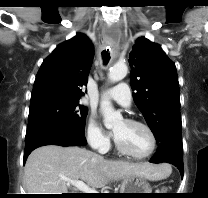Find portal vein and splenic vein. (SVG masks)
I'll return each mask as SVG.
<instances>
[{
    "label": "portal vein and splenic vein",
    "instance_id": "obj_1",
    "mask_svg": "<svg viewBox=\"0 0 208 198\" xmlns=\"http://www.w3.org/2000/svg\"><path fill=\"white\" fill-rule=\"evenodd\" d=\"M63 180L67 182V185H72L80 191H82L83 193H97L95 189H92L81 180H71L68 178H64Z\"/></svg>",
    "mask_w": 208,
    "mask_h": 198
}]
</instances>
